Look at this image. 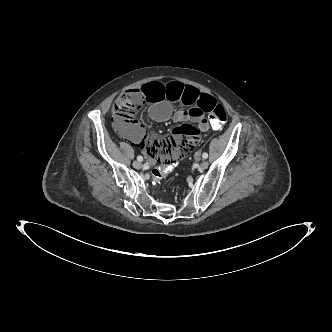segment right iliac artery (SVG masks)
I'll use <instances>...</instances> for the list:
<instances>
[{"label": "right iliac artery", "mask_w": 332, "mask_h": 332, "mask_svg": "<svg viewBox=\"0 0 332 332\" xmlns=\"http://www.w3.org/2000/svg\"><path fill=\"white\" fill-rule=\"evenodd\" d=\"M137 160L141 162V161H143V157L141 155H139V156H137Z\"/></svg>", "instance_id": "82829eb1"}]
</instances>
